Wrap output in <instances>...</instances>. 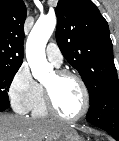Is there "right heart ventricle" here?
<instances>
[{
    "instance_id": "right-heart-ventricle-1",
    "label": "right heart ventricle",
    "mask_w": 119,
    "mask_h": 141,
    "mask_svg": "<svg viewBox=\"0 0 119 141\" xmlns=\"http://www.w3.org/2000/svg\"><path fill=\"white\" fill-rule=\"evenodd\" d=\"M32 115L34 117H46L48 116V111L45 107L44 97H43V89L40 86V92L38 98L31 109Z\"/></svg>"
}]
</instances>
